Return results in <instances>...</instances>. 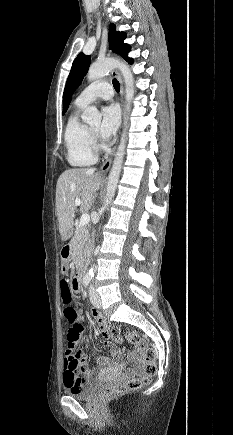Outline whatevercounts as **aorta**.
I'll list each match as a JSON object with an SVG mask.
<instances>
[{
  "label": "aorta",
  "mask_w": 233,
  "mask_h": 435,
  "mask_svg": "<svg viewBox=\"0 0 233 435\" xmlns=\"http://www.w3.org/2000/svg\"><path fill=\"white\" fill-rule=\"evenodd\" d=\"M114 68H118L124 78L125 87H126V103H127L126 108L127 111L129 112L130 103L134 96V77L128 65L112 58L96 61L90 66L87 74V78L89 81H94L103 78ZM82 119L88 124L99 125L101 123V114L99 113L96 107L93 106L88 107L84 111L82 115ZM125 148H126V132L124 131L113 161L112 168L108 176L104 209H108V206L111 204L112 199L115 195V191H116V187L121 173L123 159L125 155ZM93 275H94L93 268H90L86 274V278L91 279Z\"/></svg>",
  "instance_id": "1"
}]
</instances>
